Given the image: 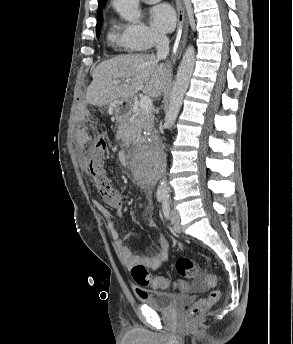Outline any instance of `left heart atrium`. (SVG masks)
<instances>
[{"mask_svg":"<svg viewBox=\"0 0 293 344\" xmlns=\"http://www.w3.org/2000/svg\"><path fill=\"white\" fill-rule=\"evenodd\" d=\"M149 19L152 27L161 33L170 32L175 25V13L167 4H161L151 8Z\"/></svg>","mask_w":293,"mask_h":344,"instance_id":"39dd6f15","label":"left heart atrium"}]
</instances>
